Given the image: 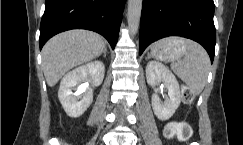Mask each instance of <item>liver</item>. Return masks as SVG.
<instances>
[{"label": "liver", "mask_w": 243, "mask_h": 145, "mask_svg": "<svg viewBox=\"0 0 243 145\" xmlns=\"http://www.w3.org/2000/svg\"><path fill=\"white\" fill-rule=\"evenodd\" d=\"M105 47L101 36L86 30H71L50 39L42 49L43 72L53 87L70 69L98 57Z\"/></svg>", "instance_id": "obj_1"}]
</instances>
